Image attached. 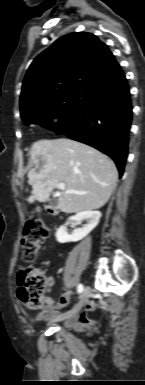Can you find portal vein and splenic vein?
Listing matches in <instances>:
<instances>
[{
  "mask_svg": "<svg viewBox=\"0 0 145 385\" xmlns=\"http://www.w3.org/2000/svg\"><path fill=\"white\" fill-rule=\"evenodd\" d=\"M56 187L60 190H65V183H57ZM66 193H74V194H84L83 192L74 191V190H66Z\"/></svg>",
  "mask_w": 145,
  "mask_h": 385,
  "instance_id": "portal-vein-and-splenic-vein-1",
  "label": "portal vein and splenic vein"
}]
</instances>
